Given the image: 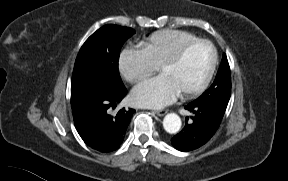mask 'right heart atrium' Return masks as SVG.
<instances>
[{
    "instance_id": "d8ad5b80",
    "label": "right heart atrium",
    "mask_w": 288,
    "mask_h": 181,
    "mask_svg": "<svg viewBox=\"0 0 288 181\" xmlns=\"http://www.w3.org/2000/svg\"><path fill=\"white\" fill-rule=\"evenodd\" d=\"M118 68L121 75L130 83L144 80L156 69L145 52L137 46H127L122 49L118 58Z\"/></svg>"
}]
</instances>
